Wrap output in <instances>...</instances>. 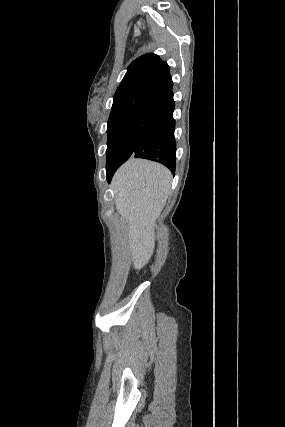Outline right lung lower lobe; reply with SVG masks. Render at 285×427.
<instances>
[{"mask_svg":"<svg viewBox=\"0 0 285 427\" xmlns=\"http://www.w3.org/2000/svg\"><path fill=\"white\" fill-rule=\"evenodd\" d=\"M174 107L172 95L146 112L140 133L142 142L133 154L135 158L159 162L168 167L172 173L175 172L176 164ZM116 170L106 171L109 182Z\"/></svg>","mask_w":285,"mask_h":427,"instance_id":"right-lung-lower-lobe-1","label":"right lung lower lobe"}]
</instances>
